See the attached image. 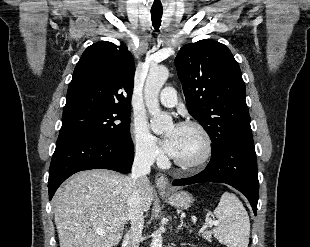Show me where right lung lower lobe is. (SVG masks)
<instances>
[{"mask_svg":"<svg viewBox=\"0 0 310 247\" xmlns=\"http://www.w3.org/2000/svg\"><path fill=\"white\" fill-rule=\"evenodd\" d=\"M132 162L131 138L116 143L89 133L59 134L49 169V199L64 180L78 171L102 168L129 173Z\"/></svg>","mask_w":310,"mask_h":247,"instance_id":"98d812e1","label":"right lung lower lobe"}]
</instances>
